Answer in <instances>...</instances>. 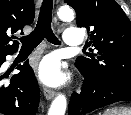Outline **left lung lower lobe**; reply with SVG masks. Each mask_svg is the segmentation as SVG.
I'll return each mask as SVG.
<instances>
[{
	"mask_svg": "<svg viewBox=\"0 0 131 115\" xmlns=\"http://www.w3.org/2000/svg\"><path fill=\"white\" fill-rule=\"evenodd\" d=\"M79 70L83 73L84 82L80 94L71 95L68 115H86L115 102L131 101V83L103 82Z\"/></svg>",
	"mask_w": 131,
	"mask_h": 115,
	"instance_id": "obj_1",
	"label": "left lung lower lobe"
}]
</instances>
